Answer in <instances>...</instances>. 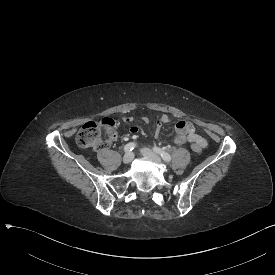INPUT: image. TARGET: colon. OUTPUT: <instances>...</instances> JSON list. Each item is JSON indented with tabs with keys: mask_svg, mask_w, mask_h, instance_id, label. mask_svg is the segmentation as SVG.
Here are the masks:
<instances>
[{
	"mask_svg": "<svg viewBox=\"0 0 275 275\" xmlns=\"http://www.w3.org/2000/svg\"><path fill=\"white\" fill-rule=\"evenodd\" d=\"M117 136L116 124L112 118H104L101 121H88L78 131L76 143L79 147L100 148L102 143L110 144ZM205 144L195 142L192 145L194 152H201Z\"/></svg>",
	"mask_w": 275,
	"mask_h": 275,
	"instance_id": "5ec220e1",
	"label": "colon"
}]
</instances>
